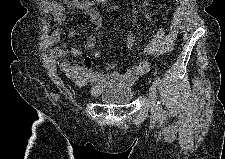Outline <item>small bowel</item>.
Here are the masks:
<instances>
[{
	"instance_id": "obj_1",
	"label": "small bowel",
	"mask_w": 225,
	"mask_h": 159,
	"mask_svg": "<svg viewBox=\"0 0 225 159\" xmlns=\"http://www.w3.org/2000/svg\"><path fill=\"white\" fill-rule=\"evenodd\" d=\"M45 9L52 15L57 24V27L45 37V41L49 46H54L60 42L64 32L63 26L65 24L66 14L68 11L75 14L85 13L92 20L95 28L89 35L83 50L76 46H69L68 42L75 36V31L71 29L67 34L66 40L62 41L59 46L54 48L53 56L63 75L71 79L73 83L79 87L88 84L92 85L93 89L91 93L93 95H97L107 86L115 84H134L149 70L147 57L164 55L173 50L178 34L179 24L184 14L185 2L182 0L178 1V8L171 28L168 31L164 28H160L154 37L144 45L140 52L141 59L123 72L116 70L118 65L117 62H111L100 67H95L92 59L86 55L87 52L92 51V56L94 58L101 56V51L95 49L96 35L101 26V20L94 3L72 0L67 5H63L56 1H48L45 4ZM113 9L115 11L118 10L117 7H114ZM127 47L129 49H133L134 47V35L132 31H129L127 34ZM68 54H71L73 57L80 58L81 62L71 63L69 61H65L64 58Z\"/></svg>"
}]
</instances>
